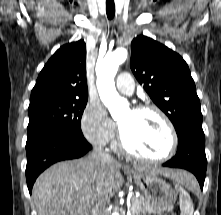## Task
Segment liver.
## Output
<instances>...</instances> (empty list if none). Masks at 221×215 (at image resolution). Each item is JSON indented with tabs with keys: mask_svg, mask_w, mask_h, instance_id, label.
Returning a JSON list of instances; mask_svg holds the SVG:
<instances>
[{
	"mask_svg": "<svg viewBox=\"0 0 221 215\" xmlns=\"http://www.w3.org/2000/svg\"><path fill=\"white\" fill-rule=\"evenodd\" d=\"M121 166L114 160L96 163L90 157L52 165L33 186L32 198L38 215H88L96 199L109 202L120 188ZM133 167L137 172L160 174L180 183L192 180L184 171L137 164Z\"/></svg>",
	"mask_w": 221,
	"mask_h": 215,
	"instance_id": "liver-1",
	"label": "liver"
}]
</instances>
